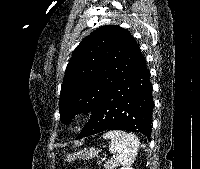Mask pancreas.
I'll return each mask as SVG.
<instances>
[{
	"mask_svg": "<svg viewBox=\"0 0 200 169\" xmlns=\"http://www.w3.org/2000/svg\"><path fill=\"white\" fill-rule=\"evenodd\" d=\"M118 165V161L116 159L110 160L104 164L105 169H114Z\"/></svg>",
	"mask_w": 200,
	"mask_h": 169,
	"instance_id": "obj_1",
	"label": "pancreas"
}]
</instances>
